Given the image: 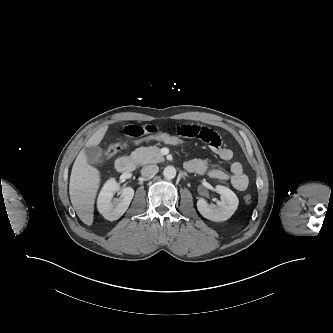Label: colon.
I'll return each instance as SVG.
<instances>
[{"label":"colon","mask_w":333,"mask_h":333,"mask_svg":"<svg viewBox=\"0 0 333 333\" xmlns=\"http://www.w3.org/2000/svg\"><path fill=\"white\" fill-rule=\"evenodd\" d=\"M159 141L166 145L172 146L174 148H181L186 145V139L174 134V133H165V132H158L148 136L139 137L133 140L134 143L138 144L144 141ZM125 146V143L122 142H115L110 144L104 151V158L108 159L114 156L120 149ZM252 201L251 195L247 194L244 196V202L249 204Z\"/></svg>","instance_id":"1"}]
</instances>
